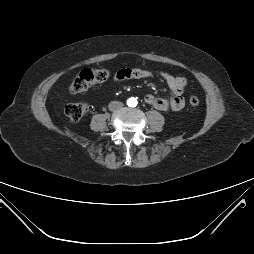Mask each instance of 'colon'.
Wrapping results in <instances>:
<instances>
[{
	"instance_id": "colon-1",
	"label": "colon",
	"mask_w": 254,
	"mask_h": 254,
	"mask_svg": "<svg viewBox=\"0 0 254 254\" xmlns=\"http://www.w3.org/2000/svg\"><path fill=\"white\" fill-rule=\"evenodd\" d=\"M110 78V72L106 69H83L72 81L70 90L72 92H83L94 84L103 83ZM189 104L197 107L200 100L192 96L189 98ZM88 105L84 102L69 103L65 106V114L72 121H80L88 112Z\"/></svg>"
}]
</instances>
